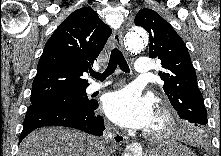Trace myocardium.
Wrapping results in <instances>:
<instances>
[{"label":"myocardium","mask_w":221,"mask_h":156,"mask_svg":"<svg viewBox=\"0 0 221 156\" xmlns=\"http://www.w3.org/2000/svg\"><path fill=\"white\" fill-rule=\"evenodd\" d=\"M155 120L156 125L146 131V138L150 140H159L172 133L176 120L171 110L166 107L159 108Z\"/></svg>","instance_id":"myocardium-1"}]
</instances>
